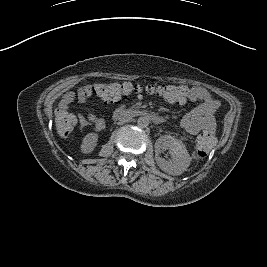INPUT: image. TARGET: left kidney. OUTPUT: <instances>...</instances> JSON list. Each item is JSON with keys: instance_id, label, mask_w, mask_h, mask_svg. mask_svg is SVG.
Wrapping results in <instances>:
<instances>
[{"instance_id": "left-kidney-1", "label": "left kidney", "mask_w": 267, "mask_h": 267, "mask_svg": "<svg viewBox=\"0 0 267 267\" xmlns=\"http://www.w3.org/2000/svg\"><path fill=\"white\" fill-rule=\"evenodd\" d=\"M169 150L171 159L159 156L160 151ZM155 161L159 168L169 175L179 176L190 166L191 157L185 145L170 135L160 136L155 142Z\"/></svg>"}]
</instances>
